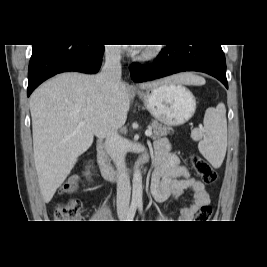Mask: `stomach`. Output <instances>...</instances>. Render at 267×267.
I'll return each instance as SVG.
<instances>
[{"label":"stomach","mask_w":267,"mask_h":267,"mask_svg":"<svg viewBox=\"0 0 267 267\" xmlns=\"http://www.w3.org/2000/svg\"><path fill=\"white\" fill-rule=\"evenodd\" d=\"M139 95L150 114L168 126L184 124L196 110L194 95L182 84L161 83Z\"/></svg>","instance_id":"obj_1"}]
</instances>
